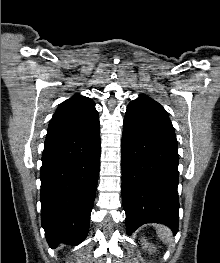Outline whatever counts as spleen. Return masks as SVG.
I'll return each instance as SVG.
<instances>
[{
    "label": "spleen",
    "mask_w": 220,
    "mask_h": 263,
    "mask_svg": "<svg viewBox=\"0 0 220 263\" xmlns=\"http://www.w3.org/2000/svg\"><path fill=\"white\" fill-rule=\"evenodd\" d=\"M156 232L159 238H161V240L164 243L168 244L169 242L172 241L171 231L166 226L157 225Z\"/></svg>",
    "instance_id": "spleen-1"
}]
</instances>
